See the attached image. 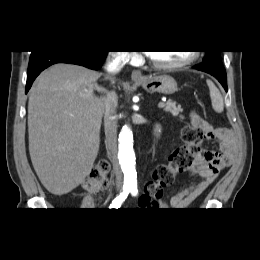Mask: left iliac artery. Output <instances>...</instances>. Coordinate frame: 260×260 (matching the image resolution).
<instances>
[{
  "instance_id": "44dca946",
  "label": "left iliac artery",
  "mask_w": 260,
  "mask_h": 260,
  "mask_svg": "<svg viewBox=\"0 0 260 260\" xmlns=\"http://www.w3.org/2000/svg\"><path fill=\"white\" fill-rule=\"evenodd\" d=\"M130 192L133 196H136L138 193L137 186H131Z\"/></svg>"
}]
</instances>
